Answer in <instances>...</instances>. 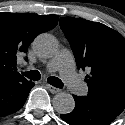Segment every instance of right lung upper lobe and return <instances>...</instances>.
<instances>
[{
  "label": "right lung upper lobe",
  "mask_w": 125,
  "mask_h": 125,
  "mask_svg": "<svg viewBox=\"0 0 125 125\" xmlns=\"http://www.w3.org/2000/svg\"><path fill=\"white\" fill-rule=\"evenodd\" d=\"M57 23V15L0 13V87L11 81H26L16 72V56L26 53L38 34L53 29Z\"/></svg>",
  "instance_id": "1"
}]
</instances>
